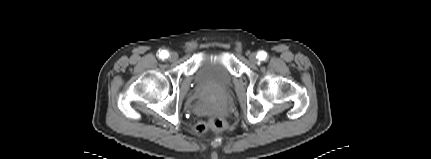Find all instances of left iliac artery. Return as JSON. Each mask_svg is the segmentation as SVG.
<instances>
[{
  "mask_svg": "<svg viewBox=\"0 0 431 159\" xmlns=\"http://www.w3.org/2000/svg\"><path fill=\"white\" fill-rule=\"evenodd\" d=\"M258 58H259V60H265L266 59V57H267V53L266 52H264V51H260L259 53H258V56H257Z\"/></svg>",
  "mask_w": 431,
  "mask_h": 159,
  "instance_id": "44dca946",
  "label": "left iliac artery"
}]
</instances>
